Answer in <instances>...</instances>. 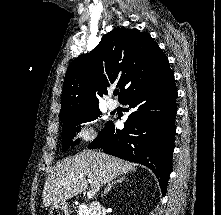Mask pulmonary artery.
Returning <instances> with one entry per match:
<instances>
[{
  "label": "pulmonary artery",
  "instance_id": "obj_1",
  "mask_svg": "<svg viewBox=\"0 0 221 215\" xmlns=\"http://www.w3.org/2000/svg\"><path fill=\"white\" fill-rule=\"evenodd\" d=\"M107 107L109 110H115L117 108V103L116 101L112 100V99H109L107 101Z\"/></svg>",
  "mask_w": 221,
  "mask_h": 215
}]
</instances>
